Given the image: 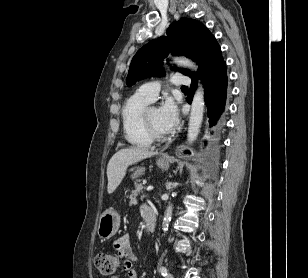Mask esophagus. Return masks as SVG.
I'll list each match as a JSON object with an SVG mask.
<instances>
[{
    "instance_id": "obj_1",
    "label": "esophagus",
    "mask_w": 308,
    "mask_h": 278,
    "mask_svg": "<svg viewBox=\"0 0 308 278\" xmlns=\"http://www.w3.org/2000/svg\"><path fill=\"white\" fill-rule=\"evenodd\" d=\"M164 158H166V159H168V156L166 155V156H163Z\"/></svg>"
}]
</instances>
